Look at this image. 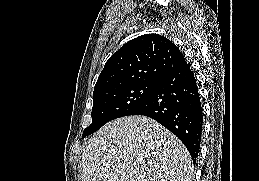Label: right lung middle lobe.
Returning a JSON list of instances; mask_svg holds the SVG:
<instances>
[{
	"mask_svg": "<svg viewBox=\"0 0 259 181\" xmlns=\"http://www.w3.org/2000/svg\"><path fill=\"white\" fill-rule=\"evenodd\" d=\"M154 88L155 83H136L93 94L92 123L83 131V138L113 119L130 115L149 99Z\"/></svg>",
	"mask_w": 259,
	"mask_h": 181,
	"instance_id": "right-lung-middle-lobe-1",
	"label": "right lung middle lobe"
}]
</instances>
